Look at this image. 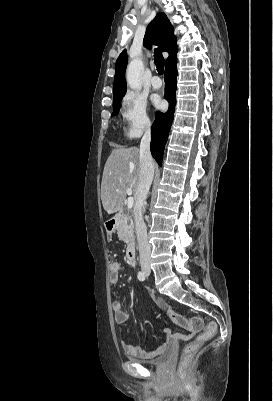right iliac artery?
Segmentation results:
<instances>
[{
    "label": "right iliac artery",
    "mask_w": 273,
    "mask_h": 401,
    "mask_svg": "<svg viewBox=\"0 0 273 401\" xmlns=\"http://www.w3.org/2000/svg\"><path fill=\"white\" fill-rule=\"evenodd\" d=\"M145 278H146V275H145L144 272H139V273H138V279H139L140 281H144Z\"/></svg>",
    "instance_id": "1"
}]
</instances>
